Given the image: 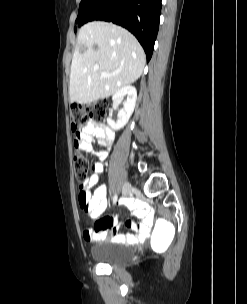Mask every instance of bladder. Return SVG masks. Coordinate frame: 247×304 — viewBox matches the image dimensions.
Masks as SVG:
<instances>
[{"mask_svg":"<svg viewBox=\"0 0 247 304\" xmlns=\"http://www.w3.org/2000/svg\"><path fill=\"white\" fill-rule=\"evenodd\" d=\"M132 255L131 246L114 241L101 242L91 249V258L94 261L110 266L123 265Z\"/></svg>","mask_w":247,"mask_h":304,"instance_id":"obj_1","label":"bladder"}]
</instances>
